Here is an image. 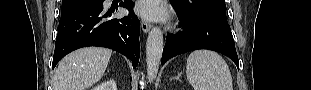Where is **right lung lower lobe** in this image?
<instances>
[{"label":"right lung lower lobe","mask_w":311,"mask_h":90,"mask_svg":"<svg viewBox=\"0 0 311 90\" xmlns=\"http://www.w3.org/2000/svg\"><path fill=\"white\" fill-rule=\"evenodd\" d=\"M119 5L130 10V14L120 19L111 18L114 10L106 11L103 1L62 14L53 68L66 54L86 46L111 48L130 58L133 68H136L140 55V22L133 12L132 0H125Z\"/></svg>","instance_id":"obj_1"}]
</instances>
